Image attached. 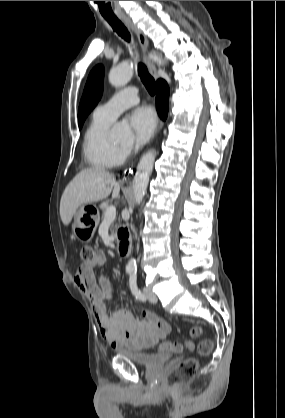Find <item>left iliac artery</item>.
Instances as JSON below:
<instances>
[{
	"label": "left iliac artery",
	"mask_w": 285,
	"mask_h": 418,
	"mask_svg": "<svg viewBox=\"0 0 285 418\" xmlns=\"http://www.w3.org/2000/svg\"><path fill=\"white\" fill-rule=\"evenodd\" d=\"M129 286H130V289H131L133 295L136 297V299H139L141 301L146 300L145 295L138 289L137 273L135 271L130 274Z\"/></svg>",
	"instance_id": "1"
}]
</instances>
